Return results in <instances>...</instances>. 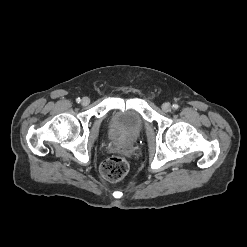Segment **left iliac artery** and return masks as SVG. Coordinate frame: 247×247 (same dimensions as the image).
Returning <instances> with one entry per match:
<instances>
[{
    "instance_id": "1",
    "label": "left iliac artery",
    "mask_w": 247,
    "mask_h": 247,
    "mask_svg": "<svg viewBox=\"0 0 247 247\" xmlns=\"http://www.w3.org/2000/svg\"><path fill=\"white\" fill-rule=\"evenodd\" d=\"M172 107H173V109H175V110H176V109H178V107H179V106H178V104H173V106H172Z\"/></svg>"
}]
</instances>
